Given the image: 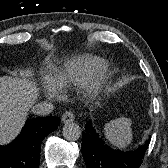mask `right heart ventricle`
<instances>
[{
  "mask_svg": "<svg viewBox=\"0 0 168 168\" xmlns=\"http://www.w3.org/2000/svg\"><path fill=\"white\" fill-rule=\"evenodd\" d=\"M104 59L93 55H82L68 61L65 66L56 71L52 82L60 88L85 86L105 68Z\"/></svg>",
  "mask_w": 168,
  "mask_h": 168,
  "instance_id": "1",
  "label": "right heart ventricle"
}]
</instances>
